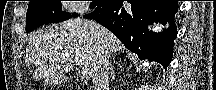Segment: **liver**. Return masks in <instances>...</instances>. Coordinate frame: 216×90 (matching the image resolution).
<instances>
[{
  "instance_id": "obj_1",
  "label": "liver",
  "mask_w": 216,
  "mask_h": 90,
  "mask_svg": "<svg viewBox=\"0 0 216 90\" xmlns=\"http://www.w3.org/2000/svg\"><path fill=\"white\" fill-rule=\"evenodd\" d=\"M122 48L120 40L100 24L75 18L35 32L26 56L27 62L42 70L46 84H61L75 72V62L80 60L82 74L92 76L101 56L117 54Z\"/></svg>"
}]
</instances>
